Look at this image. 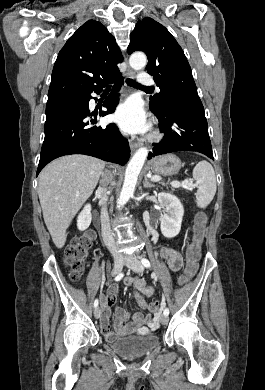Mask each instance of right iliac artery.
<instances>
[{"instance_id": "obj_1", "label": "right iliac artery", "mask_w": 265, "mask_h": 390, "mask_svg": "<svg viewBox=\"0 0 265 390\" xmlns=\"http://www.w3.org/2000/svg\"><path fill=\"white\" fill-rule=\"evenodd\" d=\"M123 273H120L119 275H117L116 277H115V281H119V280H121L122 278H123ZM98 304H99V302H98V299H96L95 301H94V307L96 308L97 306H98Z\"/></svg>"}]
</instances>
